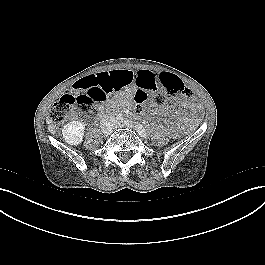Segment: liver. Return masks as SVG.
I'll list each match as a JSON object with an SVG mask.
<instances>
[{"instance_id":"obj_1","label":"liver","mask_w":265,"mask_h":265,"mask_svg":"<svg viewBox=\"0 0 265 265\" xmlns=\"http://www.w3.org/2000/svg\"><path fill=\"white\" fill-rule=\"evenodd\" d=\"M46 123L48 124V131L54 135L56 133L55 126L52 124L50 117H46Z\"/></svg>"}]
</instances>
